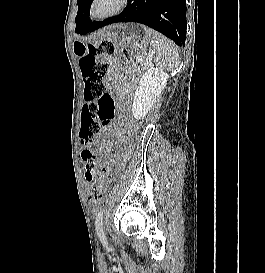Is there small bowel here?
Instances as JSON below:
<instances>
[{
  "label": "small bowel",
  "instance_id": "obj_1",
  "mask_svg": "<svg viewBox=\"0 0 265 273\" xmlns=\"http://www.w3.org/2000/svg\"><path fill=\"white\" fill-rule=\"evenodd\" d=\"M106 62L110 63V64H113V60L110 59V58H103ZM117 73H116V70L114 68H112V70L110 71L109 75L107 76V83L110 87V89H114L116 88V85H117ZM109 130H110V127L109 126H106L104 129H103V132H102V135L103 137H106V135L109 133Z\"/></svg>",
  "mask_w": 265,
  "mask_h": 273
}]
</instances>
